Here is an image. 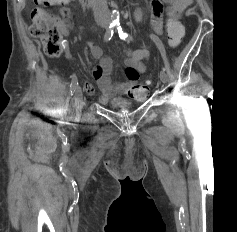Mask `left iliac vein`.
Returning a JSON list of instances; mask_svg holds the SVG:
<instances>
[{"label":"left iliac vein","mask_w":237,"mask_h":232,"mask_svg":"<svg viewBox=\"0 0 237 232\" xmlns=\"http://www.w3.org/2000/svg\"><path fill=\"white\" fill-rule=\"evenodd\" d=\"M160 79L163 83H167L168 77H167V73L165 72V70H162L160 72Z\"/></svg>","instance_id":"4c4485c4"}]
</instances>
